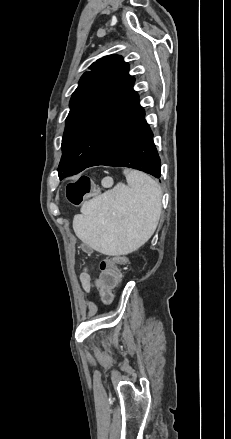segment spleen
<instances>
[{"label":"spleen","mask_w":231,"mask_h":439,"mask_svg":"<svg viewBox=\"0 0 231 439\" xmlns=\"http://www.w3.org/2000/svg\"><path fill=\"white\" fill-rule=\"evenodd\" d=\"M127 184L86 201L73 220L75 234L107 255L131 253L153 235L161 215V188L145 173L124 170Z\"/></svg>","instance_id":"1"}]
</instances>
